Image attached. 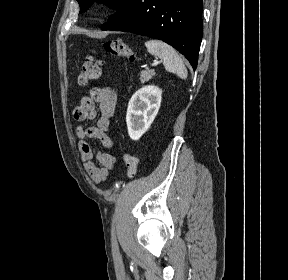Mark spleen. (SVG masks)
<instances>
[{
    "label": "spleen",
    "mask_w": 288,
    "mask_h": 280,
    "mask_svg": "<svg viewBox=\"0 0 288 280\" xmlns=\"http://www.w3.org/2000/svg\"><path fill=\"white\" fill-rule=\"evenodd\" d=\"M145 46L150 54L163 60V65L167 71L176 73L181 79L187 78V69L173 47L154 39L146 41Z\"/></svg>",
    "instance_id": "spleen-1"
}]
</instances>
